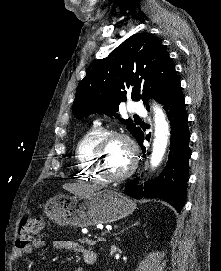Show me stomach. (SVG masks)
<instances>
[{"mask_svg":"<svg viewBox=\"0 0 221 271\" xmlns=\"http://www.w3.org/2000/svg\"><path fill=\"white\" fill-rule=\"evenodd\" d=\"M45 211L59 225L88 227L126 217L136 207L133 199L114 189H98L76 197H49Z\"/></svg>","mask_w":221,"mask_h":271,"instance_id":"stomach-1","label":"stomach"}]
</instances>
